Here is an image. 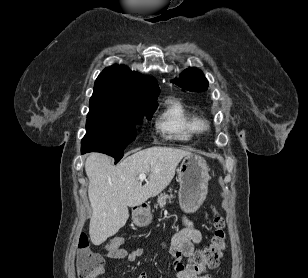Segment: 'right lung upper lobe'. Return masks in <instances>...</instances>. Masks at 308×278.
Returning <instances> with one entry per match:
<instances>
[{"label": "right lung upper lobe", "mask_w": 308, "mask_h": 278, "mask_svg": "<svg viewBox=\"0 0 308 278\" xmlns=\"http://www.w3.org/2000/svg\"><path fill=\"white\" fill-rule=\"evenodd\" d=\"M160 93L154 79L113 65L97 77L87 118L126 117L157 102Z\"/></svg>", "instance_id": "cb5924a9"}]
</instances>
